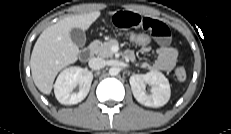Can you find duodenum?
<instances>
[{
  "label": "duodenum",
  "instance_id": "410a0bca",
  "mask_svg": "<svg viewBox=\"0 0 231 134\" xmlns=\"http://www.w3.org/2000/svg\"><path fill=\"white\" fill-rule=\"evenodd\" d=\"M91 54H92V47H88L87 49H85L80 53V59L82 61H86L91 56Z\"/></svg>",
  "mask_w": 231,
  "mask_h": 134
}]
</instances>
